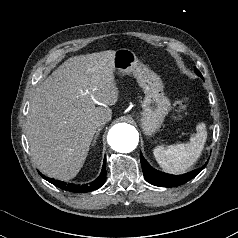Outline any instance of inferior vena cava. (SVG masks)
<instances>
[{"instance_id": "602c4592", "label": "inferior vena cava", "mask_w": 238, "mask_h": 238, "mask_svg": "<svg viewBox=\"0 0 238 238\" xmlns=\"http://www.w3.org/2000/svg\"><path fill=\"white\" fill-rule=\"evenodd\" d=\"M107 123V121L106 120H104V119H102V120H99L98 122H97V124H96V126L98 127V128H100V127H102L104 124H106Z\"/></svg>"}]
</instances>
